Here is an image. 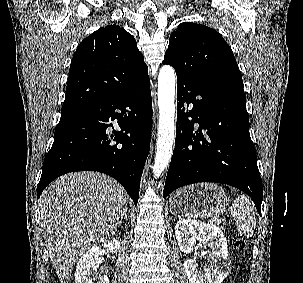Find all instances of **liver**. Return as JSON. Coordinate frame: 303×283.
I'll return each instance as SVG.
<instances>
[{
	"label": "liver",
	"instance_id": "1",
	"mask_svg": "<svg viewBox=\"0 0 303 283\" xmlns=\"http://www.w3.org/2000/svg\"><path fill=\"white\" fill-rule=\"evenodd\" d=\"M126 208L124 188L98 172L65 174L44 190L41 228L61 283L81 255L114 234Z\"/></svg>",
	"mask_w": 303,
	"mask_h": 283
}]
</instances>
